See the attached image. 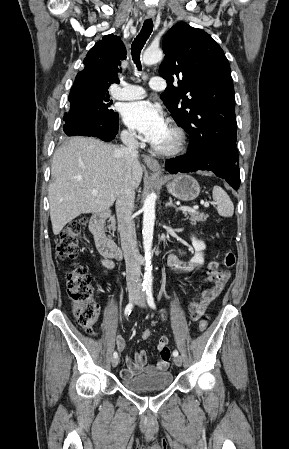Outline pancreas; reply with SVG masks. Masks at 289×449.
<instances>
[{"mask_svg": "<svg viewBox=\"0 0 289 449\" xmlns=\"http://www.w3.org/2000/svg\"><path fill=\"white\" fill-rule=\"evenodd\" d=\"M186 219H188L192 225H196L197 222H203L208 218V215H205L204 213L199 212H183ZM109 228L115 229V223L114 221L111 223Z\"/></svg>", "mask_w": 289, "mask_h": 449, "instance_id": "pancreas-1", "label": "pancreas"}]
</instances>
